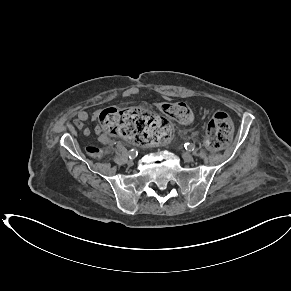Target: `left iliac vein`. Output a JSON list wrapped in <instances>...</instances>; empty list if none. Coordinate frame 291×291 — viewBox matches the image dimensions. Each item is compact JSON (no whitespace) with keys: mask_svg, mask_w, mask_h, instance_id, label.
<instances>
[{"mask_svg":"<svg viewBox=\"0 0 291 291\" xmlns=\"http://www.w3.org/2000/svg\"><path fill=\"white\" fill-rule=\"evenodd\" d=\"M182 158H183V160L185 161V162H192L193 161V156L190 154V153H188V152H184L183 154H182Z\"/></svg>","mask_w":291,"mask_h":291,"instance_id":"1","label":"left iliac vein"}]
</instances>
